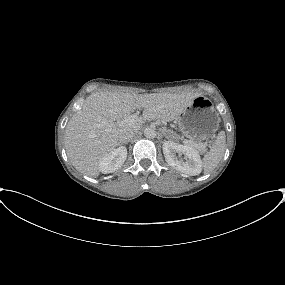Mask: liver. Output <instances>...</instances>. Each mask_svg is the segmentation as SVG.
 Returning a JSON list of instances; mask_svg holds the SVG:
<instances>
[{
  "instance_id": "1",
  "label": "liver",
  "mask_w": 285,
  "mask_h": 285,
  "mask_svg": "<svg viewBox=\"0 0 285 285\" xmlns=\"http://www.w3.org/2000/svg\"><path fill=\"white\" fill-rule=\"evenodd\" d=\"M199 93H151L136 94L100 91L89 95L81 109L69 120L64 140L72 165L81 173L96 178L99 162L119 144L123 129L138 131L146 121H173ZM143 108L142 117L135 123L123 126L102 125L129 117L135 109Z\"/></svg>"
}]
</instances>
